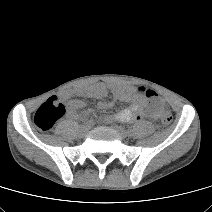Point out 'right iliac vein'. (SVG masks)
<instances>
[{
  "instance_id": "1",
  "label": "right iliac vein",
  "mask_w": 212,
  "mask_h": 212,
  "mask_svg": "<svg viewBox=\"0 0 212 212\" xmlns=\"http://www.w3.org/2000/svg\"><path fill=\"white\" fill-rule=\"evenodd\" d=\"M89 128H90V126H88V125H83V126H81L80 128H79V135L80 136H84L86 133H87V131L89 130Z\"/></svg>"
}]
</instances>
